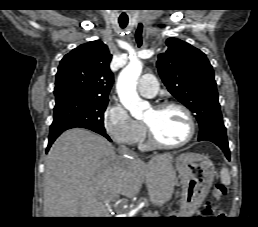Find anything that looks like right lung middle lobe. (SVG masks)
<instances>
[{"label": "right lung middle lobe", "mask_w": 258, "mask_h": 227, "mask_svg": "<svg viewBox=\"0 0 258 227\" xmlns=\"http://www.w3.org/2000/svg\"><path fill=\"white\" fill-rule=\"evenodd\" d=\"M53 122H65L97 133L105 132L103 119L108 99L77 94L56 96Z\"/></svg>", "instance_id": "1"}]
</instances>
